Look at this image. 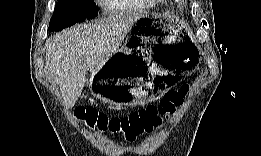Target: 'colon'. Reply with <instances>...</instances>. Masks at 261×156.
I'll return each instance as SVG.
<instances>
[{"label":"colon","mask_w":261,"mask_h":156,"mask_svg":"<svg viewBox=\"0 0 261 156\" xmlns=\"http://www.w3.org/2000/svg\"><path fill=\"white\" fill-rule=\"evenodd\" d=\"M189 91L185 84L180 89L168 92L156 105L147 106L124 116L109 117L93 108H81L77 116L99 131L123 135L133 142L139 136L148 134L157 128L164 117L173 114Z\"/></svg>","instance_id":"5ec220e1"}]
</instances>
